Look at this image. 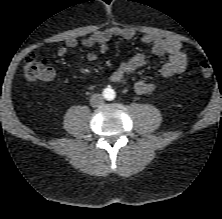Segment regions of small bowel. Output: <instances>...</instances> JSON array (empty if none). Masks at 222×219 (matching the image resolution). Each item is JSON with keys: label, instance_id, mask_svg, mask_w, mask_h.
I'll list each match as a JSON object with an SVG mask.
<instances>
[{"label": "small bowel", "instance_id": "1", "mask_svg": "<svg viewBox=\"0 0 222 219\" xmlns=\"http://www.w3.org/2000/svg\"><path fill=\"white\" fill-rule=\"evenodd\" d=\"M136 36L135 30L127 27H111L104 30L97 31L89 37L78 40L76 38H69L66 46L57 50V56L63 57L66 55L68 49H73L78 46H97V51H91L86 58L89 62L97 60L99 54L106 52L108 43L115 38L123 40H131ZM142 42L150 46L152 53L156 56H167L168 60L160 68V75L164 78H170L174 75L183 73L188 65L187 52L183 45L175 40L162 39L161 37L147 33L142 36ZM145 64V56L142 53H135L127 60L123 61L117 69L110 75V80L114 83H124L126 77L133 74L136 70ZM50 76L45 81L51 80L55 71L49 67ZM92 87V86H91ZM158 85L153 82L139 80L135 83L134 89L138 94H149L154 92Z\"/></svg>", "mask_w": 222, "mask_h": 219}]
</instances>
